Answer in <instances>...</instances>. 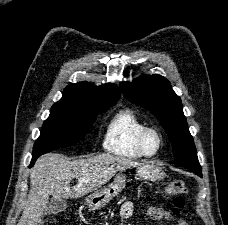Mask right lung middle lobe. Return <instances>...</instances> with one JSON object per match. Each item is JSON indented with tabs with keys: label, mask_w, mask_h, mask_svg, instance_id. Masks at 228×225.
I'll list each match as a JSON object with an SVG mask.
<instances>
[{
	"label": "right lung middle lobe",
	"mask_w": 228,
	"mask_h": 225,
	"mask_svg": "<svg viewBox=\"0 0 228 225\" xmlns=\"http://www.w3.org/2000/svg\"><path fill=\"white\" fill-rule=\"evenodd\" d=\"M111 106H94L80 103H55L44 122L41 135L34 144L33 154L51 152L76 144L84 138L96 116Z\"/></svg>",
	"instance_id": "dd1d6c3e"
}]
</instances>
